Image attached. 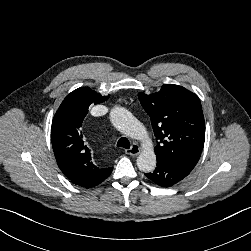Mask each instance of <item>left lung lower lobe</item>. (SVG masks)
<instances>
[{
  "label": "left lung lower lobe",
  "mask_w": 251,
  "mask_h": 251,
  "mask_svg": "<svg viewBox=\"0 0 251 251\" xmlns=\"http://www.w3.org/2000/svg\"><path fill=\"white\" fill-rule=\"evenodd\" d=\"M190 170L163 160H157V167L152 173L145 176L162 187L173 186L190 174Z\"/></svg>",
  "instance_id": "obj_1"
}]
</instances>
